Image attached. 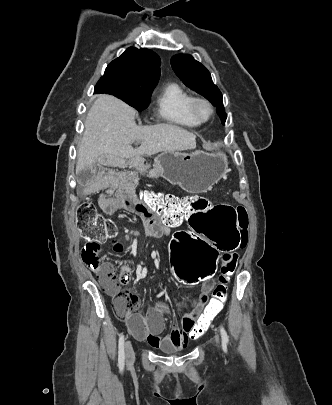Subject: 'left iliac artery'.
I'll return each mask as SVG.
<instances>
[{"label":"left iliac artery","instance_id":"1","mask_svg":"<svg viewBox=\"0 0 332 405\" xmlns=\"http://www.w3.org/2000/svg\"><path fill=\"white\" fill-rule=\"evenodd\" d=\"M220 333H221V337H222V345L225 348L229 342V338L227 335V332L225 331V329L220 326Z\"/></svg>","mask_w":332,"mask_h":405}]
</instances>
